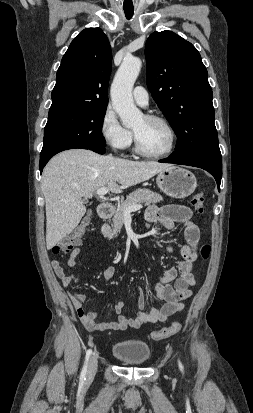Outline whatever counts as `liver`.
I'll use <instances>...</instances> for the list:
<instances>
[{"mask_svg": "<svg viewBox=\"0 0 253 413\" xmlns=\"http://www.w3.org/2000/svg\"><path fill=\"white\" fill-rule=\"evenodd\" d=\"M168 163L138 162L73 149L54 156L42 173L46 203V246L52 249L79 224L86 212L82 197L106 186L112 193L150 179Z\"/></svg>", "mask_w": 253, "mask_h": 413, "instance_id": "6515ba94", "label": "liver"}]
</instances>
